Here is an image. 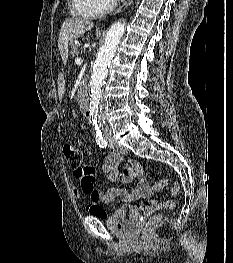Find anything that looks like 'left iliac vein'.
Here are the masks:
<instances>
[{"mask_svg": "<svg viewBox=\"0 0 233 263\" xmlns=\"http://www.w3.org/2000/svg\"><path fill=\"white\" fill-rule=\"evenodd\" d=\"M106 139H107V141L109 142L110 147H111L112 149H114L116 152L121 153V154H126V153H128V149L125 148V147H123V146H121V145H119V144L113 139V137H111V136H106Z\"/></svg>", "mask_w": 233, "mask_h": 263, "instance_id": "obj_1", "label": "left iliac vein"}]
</instances>
